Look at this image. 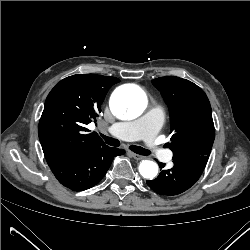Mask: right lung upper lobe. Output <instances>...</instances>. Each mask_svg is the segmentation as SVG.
I'll use <instances>...</instances> for the list:
<instances>
[{
  "instance_id": "cb5924a9",
  "label": "right lung upper lobe",
  "mask_w": 250,
  "mask_h": 250,
  "mask_svg": "<svg viewBox=\"0 0 250 250\" xmlns=\"http://www.w3.org/2000/svg\"><path fill=\"white\" fill-rule=\"evenodd\" d=\"M115 77L76 74L61 80L49 93L38 134L48 164L71 160L84 151L105 145L85 126L96 121Z\"/></svg>"
}]
</instances>
